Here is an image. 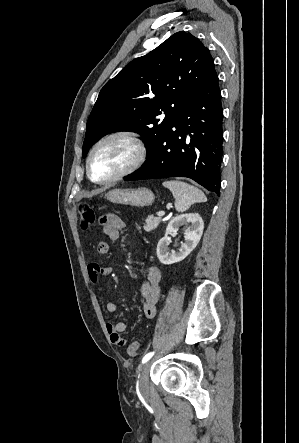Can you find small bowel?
Listing matches in <instances>:
<instances>
[{
  "instance_id": "obj_1",
  "label": "small bowel",
  "mask_w": 299,
  "mask_h": 443,
  "mask_svg": "<svg viewBox=\"0 0 299 443\" xmlns=\"http://www.w3.org/2000/svg\"><path fill=\"white\" fill-rule=\"evenodd\" d=\"M100 223L103 234L111 241H116L125 227L124 221L116 214L104 215ZM109 249V244L105 241H101L97 245V252L100 255H107ZM111 272L112 267L107 263H91L88 266V275L94 285H98L100 278L109 276ZM161 280L162 273L159 268L152 266L147 269L146 281L141 285L139 290L143 313L146 318H152L156 315L161 291ZM105 307L107 312L111 314L117 312V305L113 301H107ZM106 329L114 345H125L126 341L121 336L126 330V324L123 321L107 323Z\"/></svg>"
}]
</instances>
